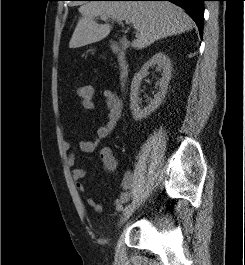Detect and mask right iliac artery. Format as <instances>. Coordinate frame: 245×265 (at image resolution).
<instances>
[{"mask_svg": "<svg viewBox=\"0 0 245 265\" xmlns=\"http://www.w3.org/2000/svg\"><path fill=\"white\" fill-rule=\"evenodd\" d=\"M116 209H117V211H122L123 210V205H117Z\"/></svg>", "mask_w": 245, "mask_h": 265, "instance_id": "right-iliac-artery-1", "label": "right iliac artery"}]
</instances>
